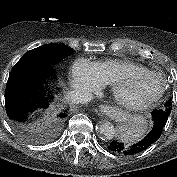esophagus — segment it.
I'll return each instance as SVG.
<instances>
[{
    "label": "esophagus",
    "mask_w": 177,
    "mask_h": 177,
    "mask_svg": "<svg viewBox=\"0 0 177 177\" xmlns=\"http://www.w3.org/2000/svg\"><path fill=\"white\" fill-rule=\"evenodd\" d=\"M99 110L102 114L105 115H111V113L114 111L113 107L109 105H100Z\"/></svg>",
    "instance_id": "34e87169"
}]
</instances>
